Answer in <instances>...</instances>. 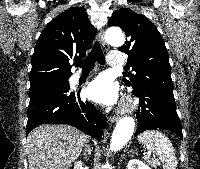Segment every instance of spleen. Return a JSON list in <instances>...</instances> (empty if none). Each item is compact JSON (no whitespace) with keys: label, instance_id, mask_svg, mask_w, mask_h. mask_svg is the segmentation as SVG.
<instances>
[{"label":"spleen","instance_id":"spleen-1","mask_svg":"<svg viewBox=\"0 0 200 169\" xmlns=\"http://www.w3.org/2000/svg\"><path fill=\"white\" fill-rule=\"evenodd\" d=\"M138 141L155 153L161 160L163 169H176L177 158L172 143L163 133L147 130L138 136Z\"/></svg>","mask_w":200,"mask_h":169}]
</instances>
